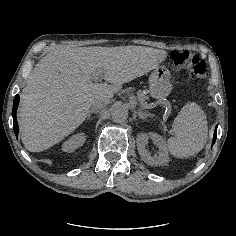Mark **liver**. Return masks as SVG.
Listing matches in <instances>:
<instances>
[{
	"instance_id": "obj_1",
	"label": "liver",
	"mask_w": 236,
	"mask_h": 236,
	"mask_svg": "<svg viewBox=\"0 0 236 236\" xmlns=\"http://www.w3.org/2000/svg\"><path fill=\"white\" fill-rule=\"evenodd\" d=\"M151 53L153 48L142 46H66L42 57L20 95L18 122L25 148L41 152L63 140L91 107L101 108L122 84L144 75ZM96 72L104 83L92 82Z\"/></svg>"
}]
</instances>
